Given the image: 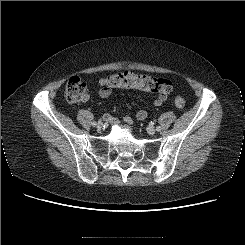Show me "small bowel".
<instances>
[{"instance_id":"1","label":"small bowel","mask_w":245,"mask_h":245,"mask_svg":"<svg viewBox=\"0 0 245 245\" xmlns=\"http://www.w3.org/2000/svg\"><path fill=\"white\" fill-rule=\"evenodd\" d=\"M110 94H111V91L110 90H105L103 88H101L99 90V96L101 98H107V97L110 96ZM88 99H89V95H85V97L83 98L82 101L85 102ZM165 100H166V95H159V97L153 102V104H154V106L159 107V106H161L165 102ZM147 116H148V113H147L146 110H139L137 112V114H136V118L138 120H145L147 118ZM104 118L107 119V120L110 119V117L108 115H105ZM123 120H124V122H126L129 125H132L133 124V120L129 116L123 117Z\"/></svg>"}]
</instances>
